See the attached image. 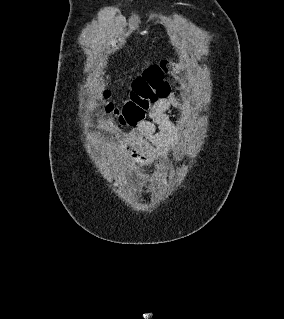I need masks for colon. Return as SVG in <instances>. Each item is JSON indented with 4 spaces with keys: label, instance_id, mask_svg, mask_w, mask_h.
I'll use <instances>...</instances> for the list:
<instances>
[{
    "label": "colon",
    "instance_id": "obj_1",
    "mask_svg": "<svg viewBox=\"0 0 284 319\" xmlns=\"http://www.w3.org/2000/svg\"><path fill=\"white\" fill-rule=\"evenodd\" d=\"M168 73L169 65L166 63L151 66L133 81L130 98L121 108L115 107L105 95L102 113L113 118L122 127L137 126L145 120L157 101L170 94Z\"/></svg>",
    "mask_w": 284,
    "mask_h": 319
}]
</instances>
